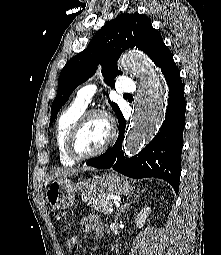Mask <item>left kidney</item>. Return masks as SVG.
Wrapping results in <instances>:
<instances>
[{"mask_svg":"<svg viewBox=\"0 0 221 255\" xmlns=\"http://www.w3.org/2000/svg\"><path fill=\"white\" fill-rule=\"evenodd\" d=\"M151 212L150 207H145L143 208L140 213L137 215L136 219H135V224L137 226V228H142L144 226V224L146 223V219L149 216Z\"/></svg>","mask_w":221,"mask_h":255,"instance_id":"1","label":"left kidney"}]
</instances>
